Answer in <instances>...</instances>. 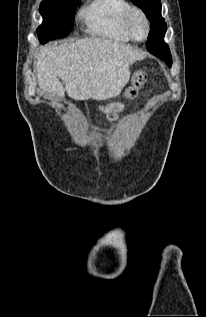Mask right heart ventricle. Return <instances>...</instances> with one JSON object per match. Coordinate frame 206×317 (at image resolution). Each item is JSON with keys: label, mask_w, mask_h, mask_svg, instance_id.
Here are the masks:
<instances>
[{"label": "right heart ventricle", "mask_w": 206, "mask_h": 317, "mask_svg": "<svg viewBox=\"0 0 206 317\" xmlns=\"http://www.w3.org/2000/svg\"><path fill=\"white\" fill-rule=\"evenodd\" d=\"M131 4L128 0H92L80 12L88 31L117 43L131 39L122 27V20Z\"/></svg>", "instance_id": "right-heart-ventricle-1"}]
</instances>
